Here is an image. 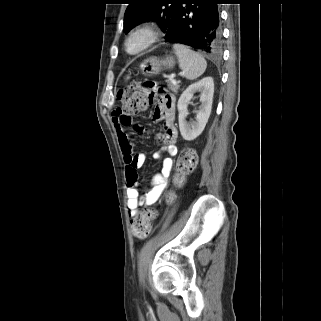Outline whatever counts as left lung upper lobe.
Returning a JSON list of instances; mask_svg holds the SVG:
<instances>
[{"label":"left lung upper lobe","instance_id":"5c2ea615","mask_svg":"<svg viewBox=\"0 0 321 321\" xmlns=\"http://www.w3.org/2000/svg\"><path fill=\"white\" fill-rule=\"evenodd\" d=\"M180 0H128L124 15L125 33L145 21H156L163 32L176 11Z\"/></svg>","mask_w":321,"mask_h":321}]
</instances>
